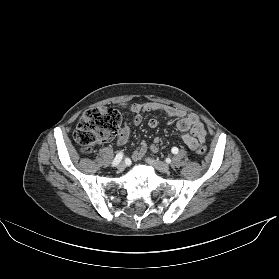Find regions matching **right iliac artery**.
<instances>
[{"label": "right iliac artery", "instance_id": "1", "mask_svg": "<svg viewBox=\"0 0 279 279\" xmlns=\"http://www.w3.org/2000/svg\"><path fill=\"white\" fill-rule=\"evenodd\" d=\"M123 158V153L119 152L112 162V166H116Z\"/></svg>", "mask_w": 279, "mask_h": 279}]
</instances>
